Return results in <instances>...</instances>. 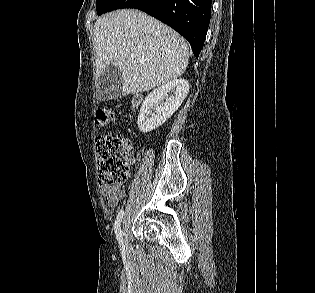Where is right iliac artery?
<instances>
[{
  "label": "right iliac artery",
  "mask_w": 315,
  "mask_h": 293,
  "mask_svg": "<svg viewBox=\"0 0 315 293\" xmlns=\"http://www.w3.org/2000/svg\"><path fill=\"white\" fill-rule=\"evenodd\" d=\"M123 215H124V211L121 210L117 217H116V220H115V223H114V231H115V234H116V238L120 244L121 247L124 246V239H123V234H122V231H121V222H122V218H123Z\"/></svg>",
  "instance_id": "82829eb1"
}]
</instances>
